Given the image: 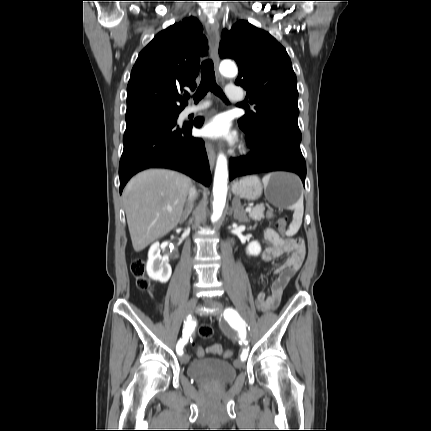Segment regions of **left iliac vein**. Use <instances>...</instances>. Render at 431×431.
<instances>
[{"label":"left iliac vein","mask_w":431,"mask_h":431,"mask_svg":"<svg viewBox=\"0 0 431 431\" xmlns=\"http://www.w3.org/2000/svg\"><path fill=\"white\" fill-rule=\"evenodd\" d=\"M211 306H213L214 308H216V310H217V315H218V317H220L221 316V310H222V308H223V306H222V304L219 302V301H210V302H208ZM235 366L237 367V368H243L244 367V362L242 361V360H240V359H237L236 361H235Z\"/></svg>","instance_id":"1"}]
</instances>
